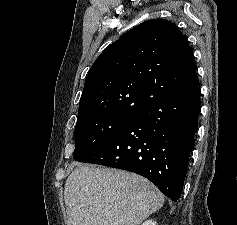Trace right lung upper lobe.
Instances as JSON below:
<instances>
[{"mask_svg":"<svg viewBox=\"0 0 237 225\" xmlns=\"http://www.w3.org/2000/svg\"><path fill=\"white\" fill-rule=\"evenodd\" d=\"M198 84L186 37L170 21L148 20L109 45L94 62L77 120L136 115L149 104Z\"/></svg>","mask_w":237,"mask_h":225,"instance_id":"obj_1","label":"right lung upper lobe"}]
</instances>
